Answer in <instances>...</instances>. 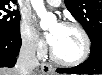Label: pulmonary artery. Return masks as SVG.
<instances>
[{
    "instance_id": "e3ab8cb5",
    "label": "pulmonary artery",
    "mask_w": 102,
    "mask_h": 75,
    "mask_svg": "<svg viewBox=\"0 0 102 75\" xmlns=\"http://www.w3.org/2000/svg\"><path fill=\"white\" fill-rule=\"evenodd\" d=\"M47 2L55 7L60 6V4L62 3L61 0H48Z\"/></svg>"
}]
</instances>
